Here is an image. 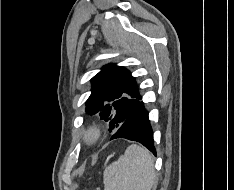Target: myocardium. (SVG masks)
<instances>
[{
    "label": "myocardium",
    "instance_id": "myocardium-1",
    "mask_svg": "<svg viewBox=\"0 0 234 190\" xmlns=\"http://www.w3.org/2000/svg\"><path fill=\"white\" fill-rule=\"evenodd\" d=\"M100 135V128L96 125H93L86 130L84 138L87 143H95L99 139Z\"/></svg>",
    "mask_w": 234,
    "mask_h": 190
}]
</instances>
